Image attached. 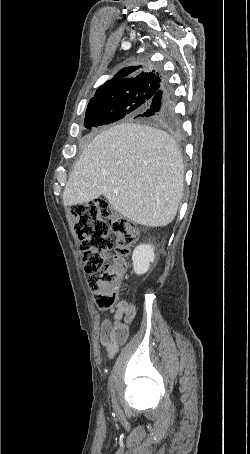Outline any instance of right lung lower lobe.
I'll return each instance as SVG.
<instances>
[{
    "mask_svg": "<svg viewBox=\"0 0 250 454\" xmlns=\"http://www.w3.org/2000/svg\"><path fill=\"white\" fill-rule=\"evenodd\" d=\"M160 119L165 125L175 124V100L172 89L167 85L155 94L149 108L142 114Z\"/></svg>",
    "mask_w": 250,
    "mask_h": 454,
    "instance_id": "right-lung-lower-lobe-1",
    "label": "right lung lower lobe"
}]
</instances>
